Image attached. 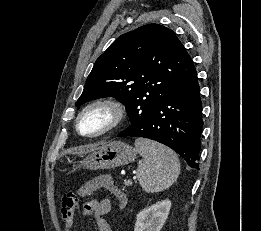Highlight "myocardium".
I'll return each instance as SVG.
<instances>
[{"label":"myocardium","instance_id":"1","mask_svg":"<svg viewBox=\"0 0 261 231\" xmlns=\"http://www.w3.org/2000/svg\"><path fill=\"white\" fill-rule=\"evenodd\" d=\"M95 107H104L108 109L111 113V121L110 123L103 129L92 133V134H84L79 129V123L82 116L89 110L95 108ZM127 117V110L125 105L118 99L115 98H100L93 100L86 104L78 113L76 120H75V130L76 132L85 138H96L99 136H102L106 133H109L115 129H117L119 126L123 124Z\"/></svg>","mask_w":261,"mask_h":231}]
</instances>
